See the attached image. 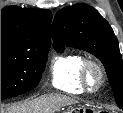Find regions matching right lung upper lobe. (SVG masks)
<instances>
[{"label":"right lung upper lobe","instance_id":"cb5924a9","mask_svg":"<svg viewBox=\"0 0 123 113\" xmlns=\"http://www.w3.org/2000/svg\"><path fill=\"white\" fill-rule=\"evenodd\" d=\"M51 20L49 10L6 7L1 10V43L41 41L50 44Z\"/></svg>","mask_w":123,"mask_h":113}]
</instances>
